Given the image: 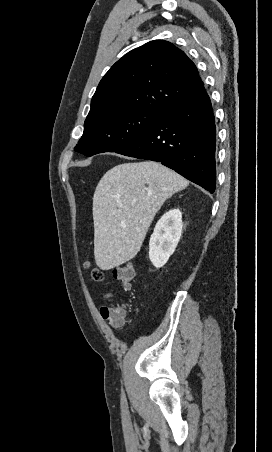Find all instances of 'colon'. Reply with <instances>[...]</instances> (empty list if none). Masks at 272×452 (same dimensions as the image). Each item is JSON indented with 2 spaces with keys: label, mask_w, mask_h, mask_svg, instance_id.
Segmentation results:
<instances>
[{
  "label": "colon",
  "mask_w": 272,
  "mask_h": 452,
  "mask_svg": "<svg viewBox=\"0 0 272 452\" xmlns=\"http://www.w3.org/2000/svg\"><path fill=\"white\" fill-rule=\"evenodd\" d=\"M85 267L91 268V264L89 262H87L85 264ZM91 273H92V277L95 281L101 282L104 280L105 276L101 269L92 267ZM114 275H115L116 279H118L121 282L122 285H124L125 287H128L134 281L135 271H134L132 264L125 263V264L119 265L118 267H116L114 269ZM112 309L115 312H117L118 314H122V313L126 312V308L123 306L119 307V308L110 307V308H108V311L110 312V310H112Z\"/></svg>",
  "instance_id": "colon-1"
}]
</instances>
